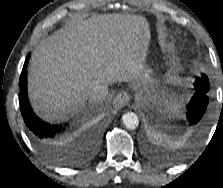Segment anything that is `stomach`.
<instances>
[{
	"label": "stomach",
	"mask_w": 223,
	"mask_h": 188,
	"mask_svg": "<svg viewBox=\"0 0 223 188\" xmlns=\"http://www.w3.org/2000/svg\"><path fill=\"white\" fill-rule=\"evenodd\" d=\"M152 71L149 68H146L145 80H150Z\"/></svg>",
	"instance_id": "stomach-1"
}]
</instances>
